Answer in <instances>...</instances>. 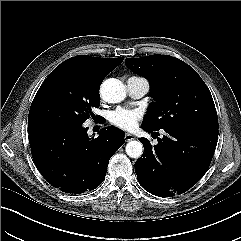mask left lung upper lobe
I'll return each mask as SVG.
<instances>
[{
	"instance_id": "1",
	"label": "left lung upper lobe",
	"mask_w": 241,
	"mask_h": 241,
	"mask_svg": "<svg viewBox=\"0 0 241 241\" xmlns=\"http://www.w3.org/2000/svg\"><path fill=\"white\" fill-rule=\"evenodd\" d=\"M125 64L147 78L154 99L142 127L151 130L172 126H198L218 130L212 95L198 73L168 55L127 58Z\"/></svg>"
}]
</instances>
